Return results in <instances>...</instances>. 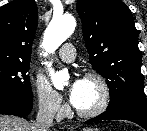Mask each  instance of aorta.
Wrapping results in <instances>:
<instances>
[{
  "instance_id": "762f6f07",
  "label": "aorta",
  "mask_w": 147,
  "mask_h": 131,
  "mask_svg": "<svg viewBox=\"0 0 147 131\" xmlns=\"http://www.w3.org/2000/svg\"><path fill=\"white\" fill-rule=\"evenodd\" d=\"M75 27L76 20L71 15L53 18L44 33L42 42V47L45 50L44 55L53 53L73 33ZM47 67L53 86L58 90H62L69 80L68 72L65 70L54 71L51 68V63H47Z\"/></svg>"
}]
</instances>
